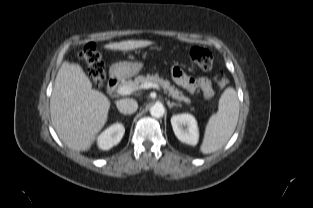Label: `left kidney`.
Segmentation results:
<instances>
[{"mask_svg": "<svg viewBox=\"0 0 313 208\" xmlns=\"http://www.w3.org/2000/svg\"><path fill=\"white\" fill-rule=\"evenodd\" d=\"M171 125L175 136L183 143L195 146L199 139V130L195 117L188 113L173 115Z\"/></svg>", "mask_w": 313, "mask_h": 208, "instance_id": "1", "label": "left kidney"}]
</instances>
